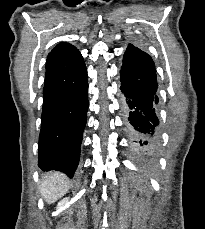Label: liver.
Segmentation results:
<instances>
[{
	"mask_svg": "<svg viewBox=\"0 0 205 229\" xmlns=\"http://www.w3.org/2000/svg\"><path fill=\"white\" fill-rule=\"evenodd\" d=\"M69 185L64 174L53 172L41 182L40 192L48 204L57 201L68 192Z\"/></svg>",
	"mask_w": 205,
	"mask_h": 229,
	"instance_id": "6515ba94",
	"label": "liver"
}]
</instances>
